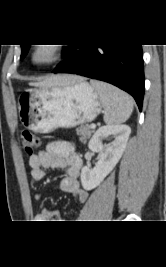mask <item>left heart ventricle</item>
I'll return each mask as SVG.
<instances>
[{
    "mask_svg": "<svg viewBox=\"0 0 166 267\" xmlns=\"http://www.w3.org/2000/svg\"><path fill=\"white\" fill-rule=\"evenodd\" d=\"M40 58H44L45 56H46V53L45 52H41V53H39V55H38Z\"/></svg>",
    "mask_w": 166,
    "mask_h": 267,
    "instance_id": "left-heart-ventricle-1",
    "label": "left heart ventricle"
}]
</instances>
